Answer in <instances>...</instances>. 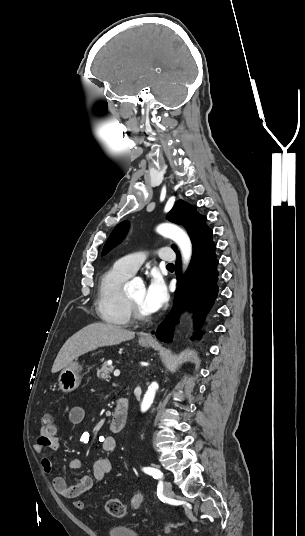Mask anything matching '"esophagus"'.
Returning <instances> with one entry per match:
<instances>
[{
    "instance_id": "1",
    "label": "esophagus",
    "mask_w": 305,
    "mask_h": 536,
    "mask_svg": "<svg viewBox=\"0 0 305 536\" xmlns=\"http://www.w3.org/2000/svg\"><path fill=\"white\" fill-rule=\"evenodd\" d=\"M143 341L145 342L153 341V338L151 336H144Z\"/></svg>"
}]
</instances>
